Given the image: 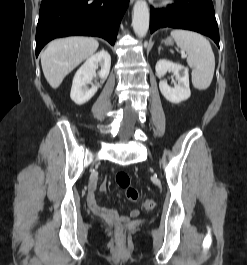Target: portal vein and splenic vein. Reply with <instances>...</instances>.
<instances>
[{
    "instance_id": "1",
    "label": "portal vein and splenic vein",
    "mask_w": 247,
    "mask_h": 265,
    "mask_svg": "<svg viewBox=\"0 0 247 265\" xmlns=\"http://www.w3.org/2000/svg\"><path fill=\"white\" fill-rule=\"evenodd\" d=\"M185 57H186V55L183 53V54H182V58H185Z\"/></svg>"
}]
</instances>
